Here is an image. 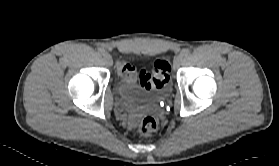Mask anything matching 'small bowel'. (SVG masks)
<instances>
[{
  "label": "small bowel",
  "instance_id": "c3829d8e",
  "mask_svg": "<svg viewBox=\"0 0 279 166\" xmlns=\"http://www.w3.org/2000/svg\"><path fill=\"white\" fill-rule=\"evenodd\" d=\"M117 72L121 78L129 79L133 77L135 68L131 64L121 61L118 63Z\"/></svg>",
  "mask_w": 279,
  "mask_h": 166
}]
</instances>
